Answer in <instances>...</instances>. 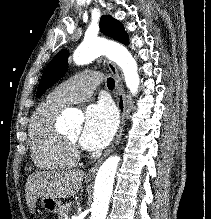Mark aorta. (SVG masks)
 <instances>
[{"mask_svg": "<svg viewBox=\"0 0 211 219\" xmlns=\"http://www.w3.org/2000/svg\"><path fill=\"white\" fill-rule=\"evenodd\" d=\"M102 54L117 63L123 71L126 86L132 94L137 93L140 82L137 63L125 47L118 44L108 46L100 40H85L74 51L73 60L77 65H83ZM64 118L78 127L82 123V116L72 111H66ZM119 160L116 155L110 156L97 172L90 219H106Z\"/></svg>", "mask_w": 211, "mask_h": 219, "instance_id": "obj_1", "label": "aorta"}]
</instances>
